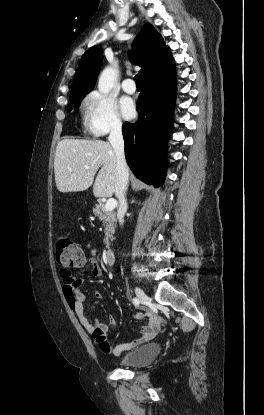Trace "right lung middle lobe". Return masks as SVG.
I'll use <instances>...</instances> for the list:
<instances>
[{
    "instance_id": "1",
    "label": "right lung middle lobe",
    "mask_w": 264,
    "mask_h": 415,
    "mask_svg": "<svg viewBox=\"0 0 264 415\" xmlns=\"http://www.w3.org/2000/svg\"><path fill=\"white\" fill-rule=\"evenodd\" d=\"M84 96L85 95H77V96L70 97L69 104H68V111H71L72 109H77Z\"/></svg>"
}]
</instances>
